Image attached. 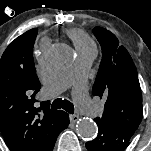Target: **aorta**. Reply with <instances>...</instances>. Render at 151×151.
Segmentation results:
<instances>
[{
    "mask_svg": "<svg viewBox=\"0 0 151 151\" xmlns=\"http://www.w3.org/2000/svg\"><path fill=\"white\" fill-rule=\"evenodd\" d=\"M46 57L54 66L64 67L73 61V51L67 45H57L47 53ZM79 136L85 140L92 139L97 134V125L91 119H81L76 125Z\"/></svg>",
    "mask_w": 151,
    "mask_h": 151,
    "instance_id": "aorta-1",
    "label": "aorta"
}]
</instances>
